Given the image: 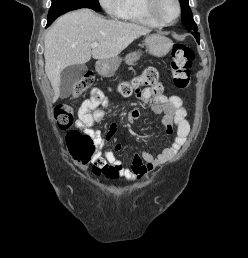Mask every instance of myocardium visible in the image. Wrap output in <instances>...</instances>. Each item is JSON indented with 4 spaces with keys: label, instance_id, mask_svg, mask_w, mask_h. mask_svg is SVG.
<instances>
[{
    "label": "myocardium",
    "instance_id": "obj_1",
    "mask_svg": "<svg viewBox=\"0 0 248 258\" xmlns=\"http://www.w3.org/2000/svg\"><path fill=\"white\" fill-rule=\"evenodd\" d=\"M157 0H146V10L149 15V17L159 26H170L175 24L181 15V4L179 0H174L176 5V16L172 21H165L159 17V15L156 12V5Z\"/></svg>",
    "mask_w": 248,
    "mask_h": 258
}]
</instances>
